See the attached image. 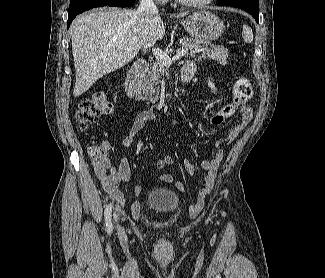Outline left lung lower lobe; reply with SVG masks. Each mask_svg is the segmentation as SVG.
I'll use <instances>...</instances> for the list:
<instances>
[{
    "label": "left lung lower lobe",
    "instance_id": "obj_1",
    "mask_svg": "<svg viewBox=\"0 0 325 278\" xmlns=\"http://www.w3.org/2000/svg\"><path fill=\"white\" fill-rule=\"evenodd\" d=\"M217 6H232L243 9L251 14L257 22L259 20V0H220Z\"/></svg>",
    "mask_w": 325,
    "mask_h": 278
}]
</instances>
